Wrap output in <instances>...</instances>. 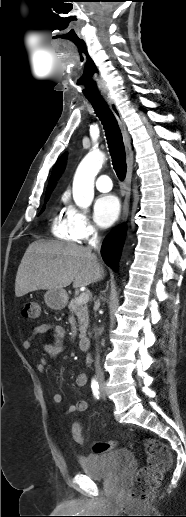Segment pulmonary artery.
Returning <instances> with one entry per match:
<instances>
[{
	"mask_svg": "<svg viewBox=\"0 0 186 517\" xmlns=\"http://www.w3.org/2000/svg\"><path fill=\"white\" fill-rule=\"evenodd\" d=\"M96 188L100 192H109L112 189V182L107 175H100L95 182Z\"/></svg>",
	"mask_w": 186,
	"mask_h": 517,
	"instance_id": "obj_1",
	"label": "pulmonary artery"
}]
</instances>
